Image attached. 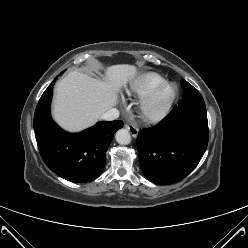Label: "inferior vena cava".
Returning a JSON list of instances; mask_svg holds the SVG:
<instances>
[{
  "instance_id": "602c4592",
  "label": "inferior vena cava",
  "mask_w": 248,
  "mask_h": 248,
  "mask_svg": "<svg viewBox=\"0 0 248 248\" xmlns=\"http://www.w3.org/2000/svg\"><path fill=\"white\" fill-rule=\"evenodd\" d=\"M119 117V111L116 108H110L101 115L102 120L112 121Z\"/></svg>"
}]
</instances>
